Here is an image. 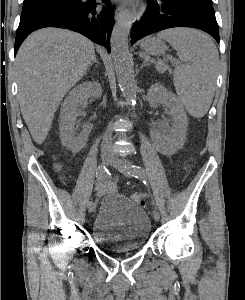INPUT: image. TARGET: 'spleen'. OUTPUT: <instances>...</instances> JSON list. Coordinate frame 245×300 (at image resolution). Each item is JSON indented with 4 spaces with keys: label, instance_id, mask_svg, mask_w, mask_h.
<instances>
[{
    "label": "spleen",
    "instance_id": "1",
    "mask_svg": "<svg viewBox=\"0 0 245 300\" xmlns=\"http://www.w3.org/2000/svg\"><path fill=\"white\" fill-rule=\"evenodd\" d=\"M164 39L177 51L185 65L174 70L173 81L180 102L193 117H203L213 99L219 55L213 41L194 29L175 28L161 31ZM156 69L163 73L166 65L158 61Z\"/></svg>",
    "mask_w": 245,
    "mask_h": 300
}]
</instances>
